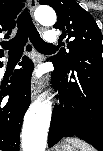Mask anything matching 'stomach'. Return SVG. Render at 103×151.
Segmentation results:
<instances>
[{
    "label": "stomach",
    "mask_w": 103,
    "mask_h": 151,
    "mask_svg": "<svg viewBox=\"0 0 103 151\" xmlns=\"http://www.w3.org/2000/svg\"><path fill=\"white\" fill-rule=\"evenodd\" d=\"M75 146L66 140L56 148V151H75Z\"/></svg>",
    "instance_id": "stomach-1"
}]
</instances>
